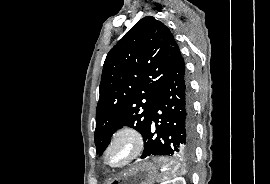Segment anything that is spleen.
Returning a JSON list of instances; mask_svg holds the SVG:
<instances>
[{"label": "spleen", "mask_w": 270, "mask_h": 184, "mask_svg": "<svg viewBox=\"0 0 270 184\" xmlns=\"http://www.w3.org/2000/svg\"><path fill=\"white\" fill-rule=\"evenodd\" d=\"M162 168H163V172H162L163 182L161 184H165L167 181L177 176L176 172H177L178 167L169 168V163L167 162V160L163 162Z\"/></svg>", "instance_id": "spleen-1"}]
</instances>
